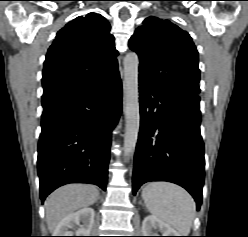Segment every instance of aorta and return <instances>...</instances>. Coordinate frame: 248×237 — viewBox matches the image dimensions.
I'll list each match as a JSON object with an SVG mask.
<instances>
[{"label": "aorta", "mask_w": 248, "mask_h": 237, "mask_svg": "<svg viewBox=\"0 0 248 237\" xmlns=\"http://www.w3.org/2000/svg\"><path fill=\"white\" fill-rule=\"evenodd\" d=\"M139 58L136 53L130 52L124 58V100H125V135L124 157L133 154L139 133Z\"/></svg>", "instance_id": "obj_1"}]
</instances>
